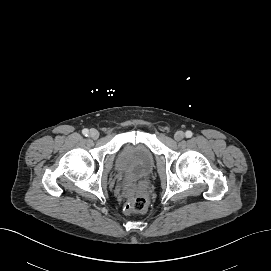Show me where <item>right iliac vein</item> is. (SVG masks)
Listing matches in <instances>:
<instances>
[{"instance_id":"right-iliac-vein-1","label":"right iliac vein","mask_w":271,"mask_h":271,"mask_svg":"<svg viewBox=\"0 0 271 271\" xmlns=\"http://www.w3.org/2000/svg\"><path fill=\"white\" fill-rule=\"evenodd\" d=\"M89 135L92 139H97L99 137V132L96 129H91Z\"/></svg>"}]
</instances>
